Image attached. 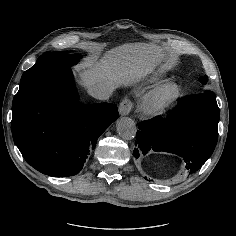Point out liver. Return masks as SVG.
<instances>
[{
	"label": "liver",
	"mask_w": 236,
	"mask_h": 236,
	"mask_svg": "<svg viewBox=\"0 0 236 236\" xmlns=\"http://www.w3.org/2000/svg\"><path fill=\"white\" fill-rule=\"evenodd\" d=\"M159 55L156 47L147 44H129L111 50L98 65L95 58L88 60L83 68L85 86L90 90L94 84L108 81L119 84L148 71Z\"/></svg>",
	"instance_id": "6515ba94"
}]
</instances>
